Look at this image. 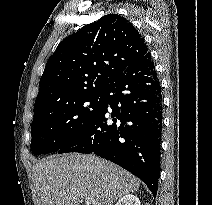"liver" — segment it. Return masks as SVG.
Returning <instances> with one entry per match:
<instances>
[{"label": "liver", "instance_id": "obj_1", "mask_svg": "<svg viewBox=\"0 0 212 205\" xmlns=\"http://www.w3.org/2000/svg\"><path fill=\"white\" fill-rule=\"evenodd\" d=\"M37 205H113L137 191L140 181L93 154L50 156L33 166Z\"/></svg>", "mask_w": 212, "mask_h": 205}]
</instances>
